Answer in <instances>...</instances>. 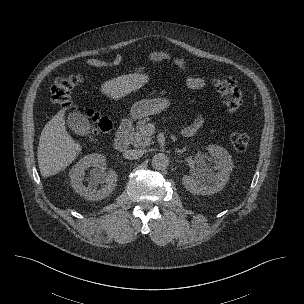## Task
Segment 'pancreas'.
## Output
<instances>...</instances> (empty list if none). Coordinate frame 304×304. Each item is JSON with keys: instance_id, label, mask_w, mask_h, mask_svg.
I'll return each instance as SVG.
<instances>
[{"instance_id": "obj_1", "label": "pancreas", "mask_w": 304, "mask_h": 304, "mask_svg": "<svg viewBox=\"0 0 304 304\" xmlns=\"http://www.w3.org/2000/svg\"><path fill=\"white\" fill-rule=\"evenodd\" d=\"M146 120L137 122L136 127L128 133V141L134 147H146L151 143V133Z\"/></svg>"}]
</instances>
